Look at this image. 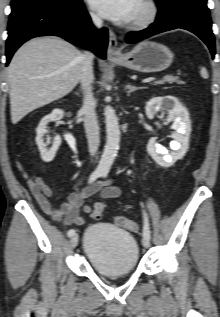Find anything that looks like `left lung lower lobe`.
<instances>
[{
  "mask_svg": "<svg viewBox=\"0 0 220 317\" xmlns=\"http://www.w3.org/2000/svg\"><path fill=\"white\" fill-rule=\"evenodd\" d=\"M159 7L156 21L147 29L131 32L125 38L133 43L155 34L181 28L200 37L215 55V40L207 0H166L157 3Z\"/></svg>",
  "mask_w": 220,
  "mask_h": 317,
  "instance_id": "1",
  "label": "left lung lower lobe"
}]
</instances>
